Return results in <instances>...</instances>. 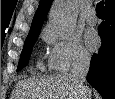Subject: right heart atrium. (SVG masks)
<instances>
[{"mask_svg":"<svg viewBox=\"0 0 115 99\" xmlns=\"http://www.w3.org/2000/svg\"><path fill=\"white\" fill-rule=\"evenodd\" d=\"M42 39L48 44V66L56 72H65L71 67L89 60V53L78 36L58 38L51 27L42 31Z\"/></svg>","mask_w":115,"mask_h":99,"instance_id":"right-heart-atrium-1","label":"right heart atrium"}]
</instances>
